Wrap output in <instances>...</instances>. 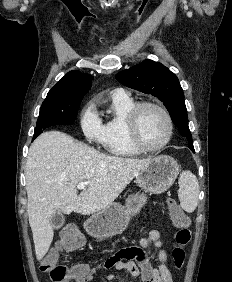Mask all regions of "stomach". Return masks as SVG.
<instances>
[{
  "label": "stomach",
  "mask_w": 232,
  "mask_h": 282,
  "mask_svg": "<svg viewBox=\"0 0 232 282\" xmlns=\"http://www.w3.org/2000/svg\"><path fill=\"white\" fill-rule=\"evenodd\" d=\"M179 174L177 161L167 155H160L150 161L136 175V183L145 193L161 194L167 191ZM144 193L131 195L125 206L112 203L85 221L87 233L97 239H105L123 233L132 216L140 212L146 203Z\"/></svg>",
  "instance_id": "1"
}]
</instances>
